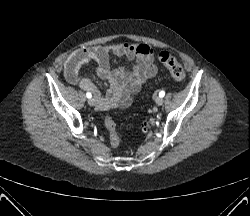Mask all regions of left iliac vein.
<instances>
[{
  "label": "left iliac vein",
  "mask_w": 250,
  "mask_h": 216,
  "mask_svg": "<svg viewBox=\"0 0 250 216\" xmlns=\"http://www.w3.org/2000/svg\"><path fill=\"white\" fill-rule=\"evenodd\" d=\"M155 102H156L157 105H162L163 102H164V100H163L162 97L157 96V97L155 98Z\"/></svg>",
  "instance_id": "1"
}]
</instances>
